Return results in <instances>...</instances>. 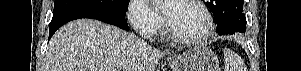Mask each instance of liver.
<instances>
[{"label": "liver", "instance_id": "liver-1", "mask_svg": "<svg viewBox=\"0 0 301 71\" xmlns=\"http://www.w3.org/2000/svg\"><path fill=\"white\" fill-rule=\"evenodd\" d=\"M164 55L133 33L80 19L52 36L43 71H154Z\"/></svg>", "mask_w": 301, "mask_h": 71}]
</instances>
